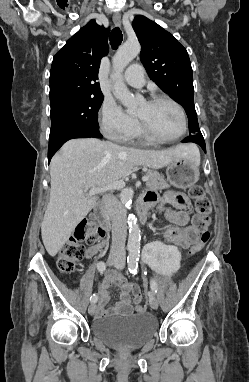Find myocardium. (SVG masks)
Here are the masks:
<instances>
[{
    "label": "myocardium",
    "mask_w": 249,
    "mask_h": 382,
    "mask_svg": "<svg viewBox=\"0 0 249 382\" xmlns=\"http://www.w3.org/2000/svg\"><path fill=\"white\" fill-rule=\"evenodd\" d=\"M159 102H168L177 109L182 120V131L176 137L164 138L157 135L145 122H143L141 119L138 118L140 131L144 135V137L154 142H158V143L176 142L180 140L186 134L188 130V120H187L186 112L184 108L176 100H174L173 98L169 96L157 95L147 101L148 104H156Z\"/></svg>",
    "instance_id": "myocardium-1"
}]
</instances>
